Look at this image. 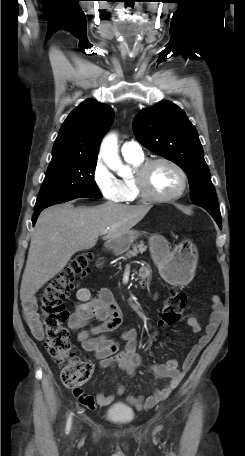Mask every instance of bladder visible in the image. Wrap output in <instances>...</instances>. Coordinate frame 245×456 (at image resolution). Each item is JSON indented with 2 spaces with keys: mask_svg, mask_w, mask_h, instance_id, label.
Instances as JSON below:
<instances>
[{
  "mask_svg": "<svg viewBox=\"0 0 245 456\" xmlns=\"http://www.w3.org/2000/svg\"><path fill=\"white\" fill-rule=\"evenodd\" d=\"M106 417L117 424H128L133 420L134 412L129 406L117 403L107 409Z\"/></svg>",
  "mask_w": 245,
  "mask_h": 456,
  "instance_id": "1",
  "label": "bladder"
}]
</instances>
